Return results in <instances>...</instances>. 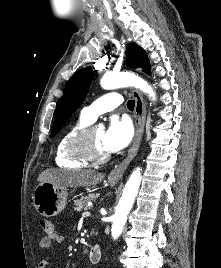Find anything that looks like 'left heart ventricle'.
Here are the masks:
<instances>
[{"instance_id":"obj_1","label":"left heart ventricle","mask_w":221,"mask_h":268,"mask_svg":"<svg viewBox=\"0 0 221 268\" xmlns=\"http://www.w3.org/2000/svg\"><path fill=\"white\" fill-rule=\"evenodd\" d=\"M92 142L95 150L100 154L108 153L104 147V131L100 128H95L92 133Z\"/></svg>"}]
</instances>
